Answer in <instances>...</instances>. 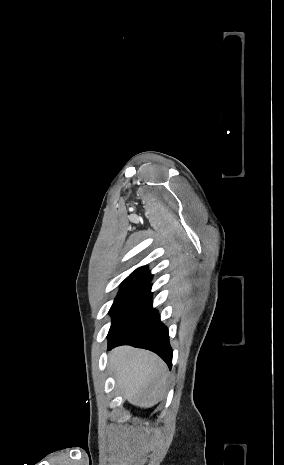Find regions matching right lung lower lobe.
Segmentation results:
<instances>
[{"mask_svg": "<svg viewBox=\"0 0 284 465\" xmlns=\"http://www.w3.org/2000/svg\"><path fill=\"white\" fill-rule=\"evenodd\" d=\"M149 292L129 313L111 326L108 350L120 345H131L158 354L171 368L172 349L168 329L161 323L159 314L152 308Z\"/></svg>", "mask_w": 284, "mask_h": 465, "instance_id": "98d812e1", "label": "right lung lower lobe"}]
</instances>
